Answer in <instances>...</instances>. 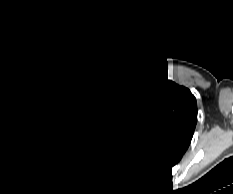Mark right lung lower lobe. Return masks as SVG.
Masks as SVG:
<instances>
[{
	"label": "right lung lower lobe",
	"mask_w": 233,
	"mask_h": 194,
	"mask_svg": "<svg viewBox=\"0 0 233 194\" xmlns=\"http://www.w3.org/2000/svg\"><path fill=\"white\" fill-rule=\"evenodd\" d=\"M97 157H98V153H95V154H93V156L91 158L84 160V161H81V162L84 164H91V163L95 162Z\"/></svg>",
	"instance_id": "1"
}]
</instances>
